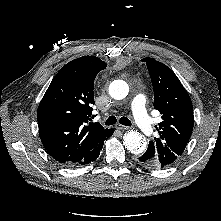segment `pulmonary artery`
Segmentation results:
<instances>
[{
  "label": "pulmonary artery",
  "instance_id": "obj_1",
  "mask_svg": "<svg viewBox=\"0 0 221 221\" xmlns=\"http://www.w3.org/2000/svg\"><path fill=\"white\" fill-rule=\"evenodd\" d=\"M131 109L134 116V120L138 127L145 135H151L153 132V125L150 116L145 108V97L142 94H138L134 97L131 103Z\"/></svg>",
  "mask_w": 221,
  "mask_h": 221
}]
</instances>
